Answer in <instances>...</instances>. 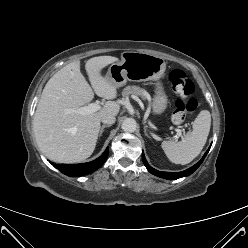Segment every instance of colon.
I'll use <instances>...</instances> for the list:
<instances>
[{"mask_svg": "<svg viewBox=\"0 0 248 248\" xmlns=\"http://www.w3.org/2000/svg\"><path fill=\"white\" fill-rule=\"evenodd\" d=\"M168 79L177 94L176 108L172 121L175 124H181L187 115L194 112L197 107V101L193 97L194 86L186 74L179 69L172 70Z\"/></svg>", "mask_w": 248, "mask_h": 248, "instance_id": "1", "label": "colon"}]
</instances>
